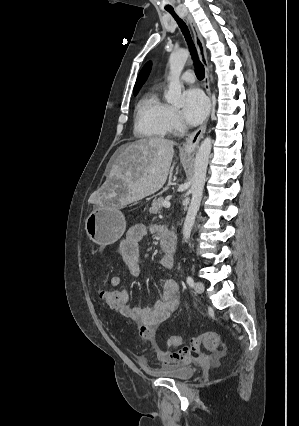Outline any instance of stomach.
Masks as SVG:
<instances>
[{
  "instance_id": "1",
  "label": "stomach",
  "mask_w": 299,
  "mask_h": 426,
  "mask_svg": "<svg viewBox=\"0 0 299 426\" xmlns=\"http://www.w3.org/2000/svg\"><path fill=\"white\" fill-rule=\"evenodd\" d=\"M125 229V216L117 205L98 206L85 221L89 239L101 247L115 243L121 238Z\"/></svg>"
}]
</instances>
